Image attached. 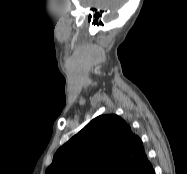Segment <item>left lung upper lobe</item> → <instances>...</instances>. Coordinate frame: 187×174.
<instances>
[{"instance_id": "left-lung-upper-lobe-1", "label": "left lung upper lobe", "mask_w": 187, "mask_h": 174, "mask_svg": "<svg viewBox=\"0 0 187 174\" xmlns=\"http://www.w3.org/2000/svg\"><path fill=\"white\" fill-rule=\"evenodd\" d=\"M148 165L141 139L109 114L94 118L58 149L45 174H132Z\"/></svg>"}]
</instances>
